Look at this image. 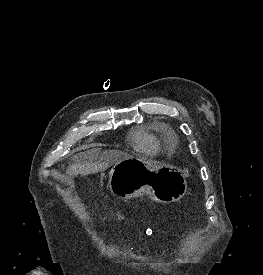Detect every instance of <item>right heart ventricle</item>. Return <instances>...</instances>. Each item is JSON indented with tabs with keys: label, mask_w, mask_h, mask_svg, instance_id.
<instances>
[{
	"label": "right heart ventricle",
	"mask_w": 263,
	"mask_h": 275,
	"mask_svg": "<svg viewBox=\"0 0 263 275\" xmlns=\"http://www.w3.org/2000/svg\"><path fill=\"white\" fill-rule=\"evenodd\" d=\"M133 143L138 149L150 150L155 147V141L149 134L139 131L133 136Z\"/></svg>",
	"instance_id": "right-heart-ventricle-1"
}]
</instances>
